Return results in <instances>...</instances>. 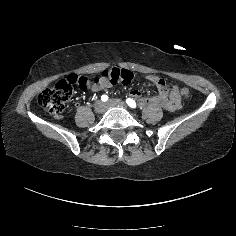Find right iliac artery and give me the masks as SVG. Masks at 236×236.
Here are the masks:
<instances>
[{"label":"right iliac artery","mask_w":236,"mask_h":236,"mask_svg":"<svg viewBox=\"0 0 236 236\" xmlns=\"http://www.w3.org/2000/svg\"><path fill=\"white\" fill-rule=\"evenodd\" d=\"M101 100H102L103 102H106V101L108 100V96H107V95H102V96H101Z\"/></svg>","instance_id":"1"}]
</instances>
